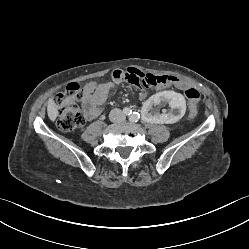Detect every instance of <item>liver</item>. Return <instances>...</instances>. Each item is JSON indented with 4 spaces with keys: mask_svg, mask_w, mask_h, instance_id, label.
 Wrapping results in <instances>:
<instances>
[{
    "mask_svg": "<svg viewBox=\"0 0 249 249\" xmlns=\"http://www.w3.org/2000/svg\"><path fill=\"white\" fill-rule=\"evenodd\" d=\"M47 113H48V117L49 119L54 122L59 114L58 112V108L56 103L54 102L53 99H49L48 100V104H47Z\"/></svg>",
    "mask_w": 249,
    "mask_h": 249,
    "instance_id": "obj_1",
    "label": "liver"
}]
</instances>
